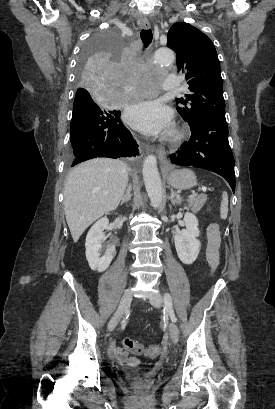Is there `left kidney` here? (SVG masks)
I'll return each mask as SVG.
<instances>
[{
    "mask_svg": "<svg viewBox=\"0 0 275 409\" xmlns=\"http://www.w3.org/2000/svg\"><path fill=\"white\" fill-rule=\"evenodd\" d=\"M186 229L179 231L174 237L177 255L184 265H192L200 253L198 221L192 213H186L184 219Z\"/></svg>",
    "mask_w": 275,
    "mask_h": 409,
    "instance_id": "left-kidney-1",
    "label": "left kidney"
}]
</instances>
